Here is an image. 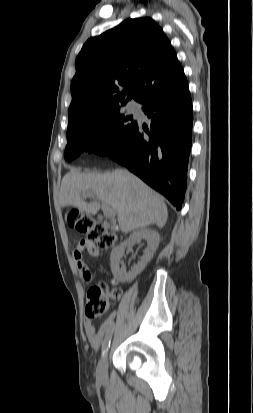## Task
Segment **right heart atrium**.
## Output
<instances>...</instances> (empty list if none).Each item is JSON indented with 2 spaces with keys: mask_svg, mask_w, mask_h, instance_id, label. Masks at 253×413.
Returning <instances> with one entry per match:
<instances>
[{
  "mask_svg": "<svg viewBox=\"0 0 253 413\" xmlns=\"http://www.w3.org/2000/svg\"><path fill=\"white\" fill-rule=\"evenodd\" d=\"M99 135H100L99 133L96 134V136H99Z\"/></svg>",
  "mask_w": 253,
  "mask_h": 413,
  "instance_id": "right-heart-atrium-1",
  "label": "right heart atrium"
}]
</instances>
